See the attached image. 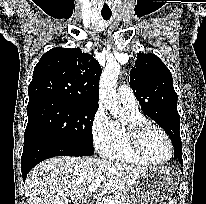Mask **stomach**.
<instances>
[{
    "label": "stomach",
    "instance_id": "stomach-1",
    "mask_svg": "<svg viewBox=\"0 0 206 204\" xmlns=\"http://www.w3.org/2000/svg\"><path fill=\"white\" fill-rule=\"evenodd\" d=\"M179 180L171 167L147 170L124 192L128 204H171Z\"/></svg>",
    "mask_w": 206,
    "mask_h": 204
}]
</instances>
